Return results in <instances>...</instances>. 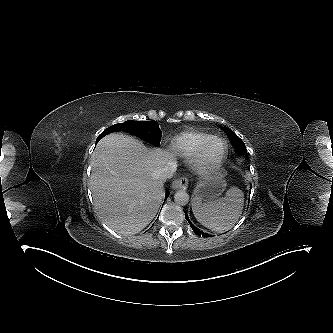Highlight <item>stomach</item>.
<instances>
[{
    "label": "stomach",
    "instance_id": "1",
    "mask_svg": "<svg viewBox=\"0 0 333 333\" xmlns=\"http://www.w3.org/2000/svg\"><path fill=\"white\" fill-rule=\"evenodd\" d=\"M226 187V181L221 175H211L205 177L197 185L194 193L195 199L209 202L217 199Z\"/></svg>",
    "mask_w": 333,
    "mask_h": 333
}]
</instances>
